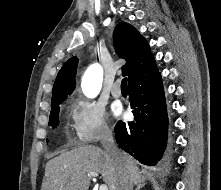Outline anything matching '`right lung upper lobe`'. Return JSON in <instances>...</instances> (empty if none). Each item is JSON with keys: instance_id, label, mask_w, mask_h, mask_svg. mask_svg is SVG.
<instances>
[{"instance_id": "1", "label": "right lung upper lobe", "mask_w": 221, "mask_h": 190, "mask_svg": "<svg viewBox=\"0 0 221 190\" xmlns=\"http://www.w3.org/2000/svg\"><path fill=\"white\" fill-rule=\"evenodd\" d=\"M113 39L117 54L126 59L122 73L128 76L129 86L152 79L158 74L148 43L133 26L126 22L118 23ZM77 64L78 59L72 57L60 69L53 86L51 104L65 100L74 90Z\"/></svg>"}]
</instances>
